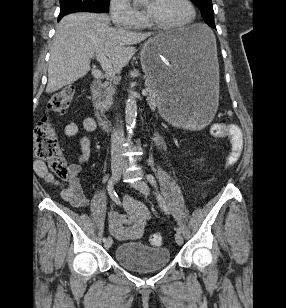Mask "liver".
Listing matches in <instances>:
<instances>
[{"label":"liver","instance_id":"6515ba94","mask_svg":"<svg viewBox=\"0 0 286 308\" xmlns=\"http://www.w3.org/2000/svg\"><path fill=\"white\" fill-rule=\"evenodd\" d=\"M109 23L105 14L86 12L69 14L61 19L50 49L47 93L84 77L91 69V58L99 52L104 53L114 71L119 72L135 54L134 45L151 36V33L111 28ZM91 72L95 78L103 77L98 69L93 68Z\"/></svg>","mask_w":286,"mask_h":308}]
</instances>
